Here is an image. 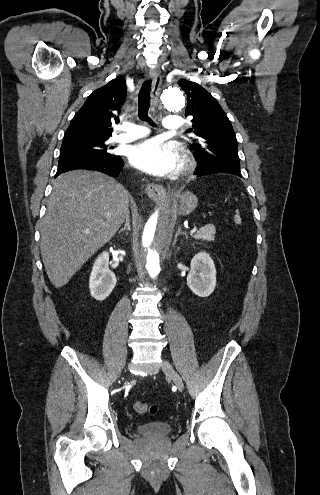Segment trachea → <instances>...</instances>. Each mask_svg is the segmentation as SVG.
<instances>
[{
    "label": "trachea",
    "mask_w": 320,
    "mask_h": 495,
    "mask_svg": "<svg viewBox=\"0 0 320 495\" xmlns=\"http://www.w3.org/2000/svg\"><path fill=\"white\" fill-rule=\"evenodd\" d=\"M150 86L151 80H147L142 85L138 96V117L142 121L148 122L150 125L155 126L153 121L148 116V110L150 107Z\"/></svg>",
    "instance_id": "3493384b"
}]
</instances>
